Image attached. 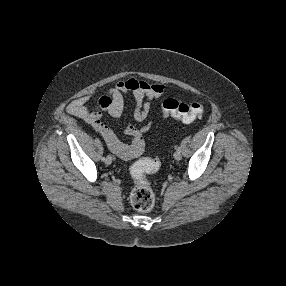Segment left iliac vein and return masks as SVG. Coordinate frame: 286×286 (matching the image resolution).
<instances>
[{
    "label": "left iliac vein",
    "mask_w": 286,
    "mask_h": 286,
    "mask_svg": "<svg viewBox=\"0 0 286 286\" xmlns=\"http://www.w3.org/2000/svg\"><path fill=\"white\" fill-rule=\"evenodd\" d=\"M173 157L175 160H180L181 159V152L179 151H176L174 154H173Z\"/></svg>",
    "instance_id": "obj_1"
}]
</instances>
